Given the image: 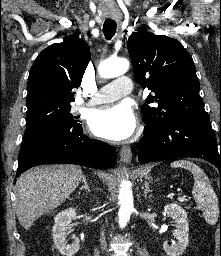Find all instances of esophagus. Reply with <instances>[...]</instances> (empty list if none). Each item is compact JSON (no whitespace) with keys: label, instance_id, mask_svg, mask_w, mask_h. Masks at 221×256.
I'll use <instances>...</instances> for the list:
<instances>
[{"label":"esophagus","instance_id":"34e87169","mask_svg":"<svg viewBox=\"0 0 221 256\" xmlns=\"http://www.w3.org/2000/svg\"><path fill=\"white\" fill-rule=\"evenodd\" d=\"M120 159L123 163L129 164L132 160V151L130 147L123 146L120 150Z\"/></svg>","mask_w":221,"mask_h":256}]
</instances>
